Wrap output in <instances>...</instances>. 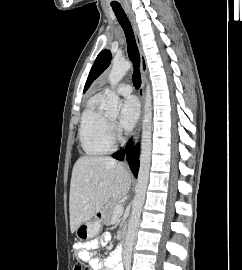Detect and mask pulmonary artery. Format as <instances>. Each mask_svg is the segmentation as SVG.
<instances>
[{
  "instance_id": "obj_1",
  "label": "pulmonary artery",
  "mask_w": 242,
  "mask_h": 270,
  "mask_svg": "<svg viewBox=\"0 0 242 270\" xmlns=\"http://www.w3.org/2000/svg\"><path fill=\"white\" fill-rule=\"evenodd\" d=\"M110 91L109 88L103 89L99 95L104 96ZM115 91L120 94V95H129L132 92V87L128 84H120L119 86L116 87Z\"/></svg>"
}]
</instances>
